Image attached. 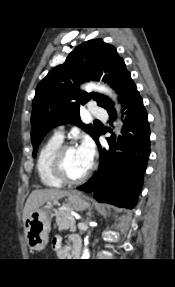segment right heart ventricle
Wrapping results in <instances>:
<instances>
[{"label":"right heart ventricle","mask_w":175,"mask_h":287,"mask_svg":"<svg viewBox=\"0 0 175 287\" xmlns=\"http://www.w3.org/2000/svg\"><path fill=\"white\" fill-rule=\"evenodd\" d=\"M61 144L62 139L54 135L43 143L38 152L36 170L40 182L46 187L60 188L63 185V182L54 176L51 168L53 154Z\"/></svg>","instance_id":"1"}]
</instances>
